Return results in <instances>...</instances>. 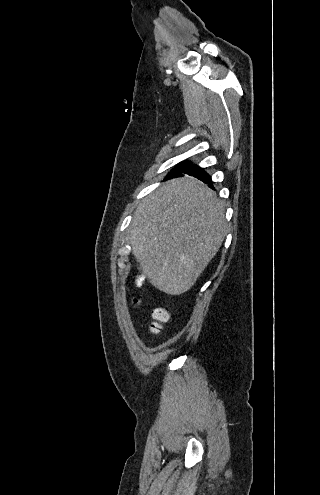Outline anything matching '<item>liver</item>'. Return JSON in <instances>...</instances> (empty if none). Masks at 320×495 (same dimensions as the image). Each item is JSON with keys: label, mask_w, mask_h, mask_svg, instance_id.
Wrapping results in <instances>:
<instances>
[{"label": "liver", "mask_w": 320, "mask_h": 495, "mask_svg": "<svg viewBox=\"0 0 320 495\" xmlns=\"http://www.w3.org/2000/svg\"><path fill=\"white\" fill-rule=\"evenodd\" d=\"M223 203L198 179L173 178L143 200L129 243L150 283L170 295L189 290L226 236Z\"/></svg>", "instance_id": "obj_1"}]
</instances>
